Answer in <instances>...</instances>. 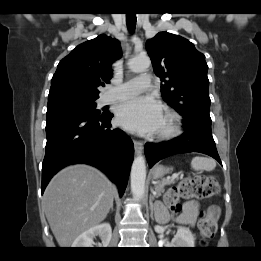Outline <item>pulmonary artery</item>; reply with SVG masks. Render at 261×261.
<instances>
[{
	"label": "pulmonary artery",
	"instance_id": "pulmonary-artery-1",
	"mask_svg": "<svg viewBox=\"0 0 261 261\" xmlns=\"http://www.w3.org/2000/svg\"><path fill=\"white\" fill-rule=\"evenodd\" d=\"M150 87L151 76L149 74H140L105 92L102 96V103L107 104L118 99L131 98Z\"/></svg>",
	"mask_w": 261,
	"mask_h": 261
}]
</instances>
